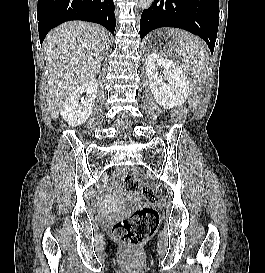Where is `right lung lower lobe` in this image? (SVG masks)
Listing matches in <instances>:
<instances>
[{"label":"right lung lower lobe","instance_id":"98d812e1","mask_svg":"<svg viewBox=\"0 0 265 273\" xmlns=\"http://www.w3.org/2000/svg\"><path fill=\"white\" fill-rule=\"evenodd\" d=\"M37 19L41 44L52 28L69 20L99 23L112 34L116 26L113 0H38Z\"/></svg>","mask_w":265,"mask_h":273}]
</instances>
